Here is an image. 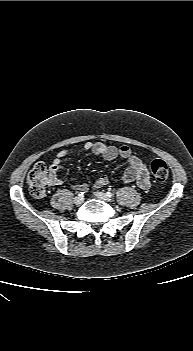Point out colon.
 <instances>
[{"label": "colon", "mask_w": 193, "mask_h": 351, "mask_svg": "<svg viewBox=\"0 0 193 351\" xmlns=\"http://www.w3.org/2000/svg\"><path fill=\"white\" fill-rule=\"evenodd\" d=\"M153 177L158 181H165L169 176V168L162 159H155L150 164ZM50 180V170L45 163H37L29 172L27 184L30 193L41 198L46 193L47 184Z\"/></svg>", "instance_id": "1"}]
</instances>
